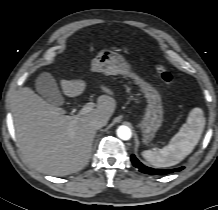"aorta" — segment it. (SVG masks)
<instances>
[{"label":"aorta","mask_w":218,"mask_h":210,"mask_svg":"<svg viewBox=\"0 0 218 210\" xmlns=\"http://www.w3.org/2000/svg\"><path fill=\"white\" fill-rule=\"evenodd\" d=\"M117 136L122 140H129L132 136L131 129L127 126H120L117 129Z\"/></svg>","instance_id":"1"}]
</instances>
